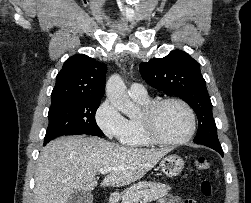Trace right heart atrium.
I'll return each mask as SVG.
<instances>
[{"label": "right heart atrium", "instance_id": "right-heart-atrium-1", "mask_svg": "<svg viewBox=\"0 0 251 203\" xmlns=\"http://www.w3.org/2000/svg\"><path fill=\"white\" fill-rule=\"evenodd\" d=\"M95 122L103 134L110 139H121L127 127L126 118L109 99L104 100L97 108Z\"/></svg>", "mask_w": 251, "mask_h": 203}]
</instances>
